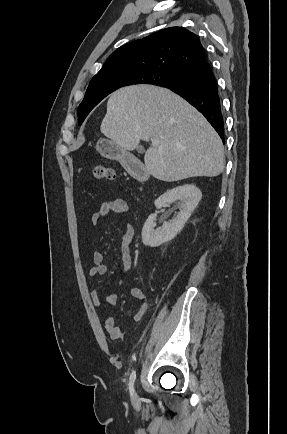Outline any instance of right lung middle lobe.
Instances as JSON below:
<instances>
[{"label":"right lung middle lobe","instance_id":"obj_1","mask_svg":"<svg viewBox=\"0 0 287 434\" xmlns=\"http://www.w3.org/2000/svg\"><path fill=\"white\" fill-rule=\"evenodd\" d=\"M181 75L164 72H146L136 76H114L92 80L87 88L85 97L78 107V123L84 121L90 111L106 96L115 90L132 84H153L166 87L175 83Z\"/></svg>","mask_w":287,"mask_h":434}]
</instances>
